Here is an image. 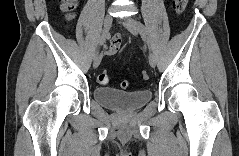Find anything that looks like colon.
<instances>
[{"label": "colon", "instance_id": "5ec220e1", "mask_svg": "<svg viewBox=\"0 0 239 156\" xmlns=\"http://www.w3.org/2000/svg\"><path fill=\"white\" fill-rule=\"evenodd\" d=\"M186 4H187V0H175L174 2V6H175V10L177 13H181L184 11L185 7H186ZM61 8L63 11H65L67 13V16L69 18H71L74 14V10L76 8V2L75 1H72V0H67V1H64L61 5ZM142 79L143 80H147L148 79V74L143 71L142 74ZM98 82L99 83H102V84H105L108 82L109 80V76H108V72L106 70H102L99 75H98ZM129 82L128 81H122L121 82V88L122 89H126L129 87Z\"/></svg>", "mask_w": 239, "mask_h": 156}]
</instances>
